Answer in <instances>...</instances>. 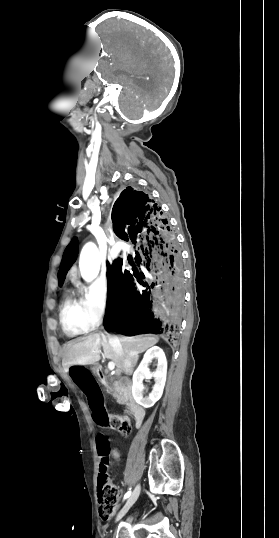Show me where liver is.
<instances>
[{
    "label": "liver",
    "instance_id": "6515ba94",
    "mask_svg": "<svg viewBox=\"0 0 279 538\" xmlns=\"http://www.w3.org/2000/svg\"><path fill=\"white\" fill-rule=\"evenodd\" d=\"M118 340L123 348L122 354H116L107 338L100 336V334H90L86 338L76 340L75 344H71L69 348L68 368L70 366L96 364L100 360V348H103L105 358L115 362L119 372H125L130 376L135 364L138 362V354L152 348L158 342V338L154 334L133 336V338H118Z\"/></svg>",
    "mask_w": 279,
    "mask_h": 538
}]
</instances>
